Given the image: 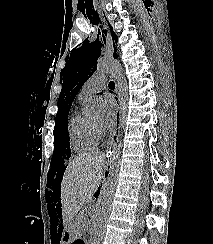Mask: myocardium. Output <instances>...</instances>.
Segmentation results:
<instances>
[{
	"instance_id": "obj_1",
	"label": "myocardium",
	"mask_w": 213,
	"mask_h": 244,
	"mask_svg": "<svg viewBox=\"0 0 213 244\" xmlns=\"http://www.w3.org/2000/svg\"><path fill=\"white\" fill-rule=\"evenodd\" d=\"M93 124H94L95 128H96V129H97V131H98V129H99L98 124H97V123H95V122H93Z\"/></svg>"
}]
</instances>
